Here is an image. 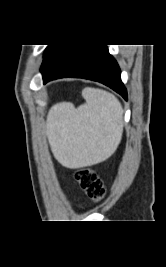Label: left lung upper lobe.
<instances>
[{
	"instance_id": "1",
	"label": "left lung upper lobe",
	"mask_w": 166,
	"mask_h": 267,
	"mask_svg": "<svg viewBox=\"0 0 166 267\" xmlns=\"http://www.w3.org/2000/svg\"><path fill=\"white\" fill-rule=\"evenodd\" d=\"M55 45H48L46 50H45V53H44V57L48 54V52L54 47Z\"/></svg>"
}]
</instances>
